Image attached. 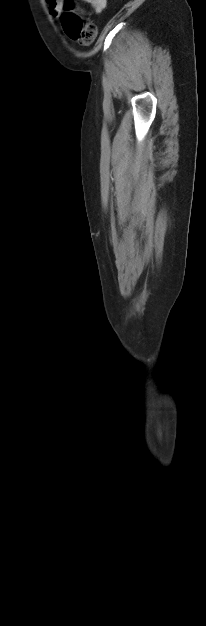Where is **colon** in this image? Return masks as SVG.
<instances>
[{
	"label": "colon",
	"mask_w": 206,
	"mask_h": 626,
	"mask_svg": "<svg viewBox=\"0 0 206 626\" xmlns=\"http://www.w3.org/2000/svg\"><path fill=\"white\" fill-rule=\"evenodd\" d=\"M64 12L61 21L68 37L80 42L83 45L91 44L97 34L95 24L89 20L79 17L74 11V4L71 0H65Z\"/></svg>",
	"instance_id": "colon-1"
}]
</instances>
